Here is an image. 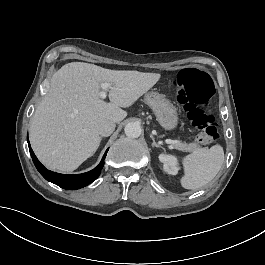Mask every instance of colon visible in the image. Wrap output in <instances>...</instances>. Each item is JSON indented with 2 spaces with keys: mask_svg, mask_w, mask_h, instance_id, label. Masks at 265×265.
I'll use <instances>...</instances> for the list:
<instances>
[{
  "mask_svg": "<svg viewBox=\"0 0 265 265\" xmlns=\"http://www.w3.org/2000/svg\"><path fill=\"white\" fill-rule=\"evenodd\" d=\"M175 85L186 97V117L199 133L200 142L216 143L219 140L218 126L214 116L208 112L210 103L217 95L211 79L203 77L196 68L186 67L176 75Z\"/></svg>",
  "mask_w": 265,
  "mask_h": 265,
  "instance_id": "colon-1",
  "label": "colon"
}]
</instances>
